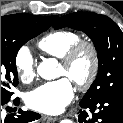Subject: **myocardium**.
I'll return each mask as SVG.
<instances>
[{"mask_svg": "<svg viewBox=\"0 0 123 123\" xmlns=\"http://www.w3.org/2000/svg\"><path fill=\"white\" fill-rule=\"evenodd\" d=\"M82 53H88L91 59L90 70L85 78L73 81L78 89L87 90L95 82L100 70V55L97 46L90 40H79L61 58V65L70 70Z\"/></svg>", "mask_w": 123, "mask_h": 123, "instance_id": "obj_1", "label": "myocardium"}]
</instances>
